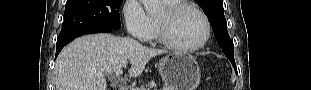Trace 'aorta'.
<instances>
[{
    "label": "aorta",
    "mask_w": 311,
    "mask_h": 90,
    "mask_svg": "<svg viewBox=\"0 0 311 90\" xmlns=\"http://www.w3.org/2000/svg\"><path fill=\"white\" fill-rule=\"evenodd\" d=\"M148 15H156L163 9L161 0H142Z\"/></svg>",
    "instance_id": "1"
}]
</instances>
